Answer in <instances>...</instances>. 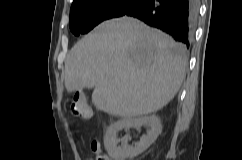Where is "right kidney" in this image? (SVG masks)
Masks as SVG:
<instances>
[{"instance_id": "ca27d5eb", "label": "right kidney", "mask_w": 242, "mask_h": 160, "mask_svg": "<svg viewBox=\"0 0 242 160\" xmlns=\"http://www.w3.org/2000/svg\"><path fill=\"white\" fill-rule=\"evenodd\" d=\"M143 125L151 127V130L140 138V141L133 147L128 145V140H124L121 146L117 139V133L122 129L140 128ZM162 131L161 121L156 115L124 118L109 126L104 136V147L110 157L115 160L133 159L144 152L158 137Z\"/></svg>"}]
</instances>
